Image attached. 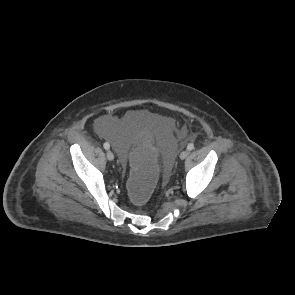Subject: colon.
I'll return each mask as SVG.
<instances>
[{"mask_svg":"<svg viewBox=\"0 0 295 295\" xmlns=\"http://www.w3.org/2000/svg\"><path fill=\"white\" fill-rule=\"evenodd\" d=\"M134 175L129 179V198L135 204H146L152 198L158 176L155 146L149 140H137L131 146Z\"/></svg>","mask_w":295,"mask_h":295,"instance_id":"obj_1","label":"colon"}]
</instances>
